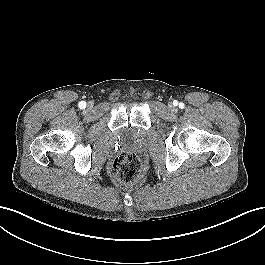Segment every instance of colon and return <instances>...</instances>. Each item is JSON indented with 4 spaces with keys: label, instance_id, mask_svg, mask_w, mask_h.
<instances>
[{
    "label": "colon",
    "instance_id": "obj_1",
    "mask_svg": "<svg viewBox=\"0 0 265 265\" xmlns=\"http://www.w3.org/2000/svg\"><path fill=\"white\" fill-rule=\"evenodd\" d=\"M110 173L120 183L135 182L141 174V164L137 155L131 151L121 152L111 163Z\"/></svg>",
    "mask_w": 265,
    "mask_h": 265
}]
</instances>
